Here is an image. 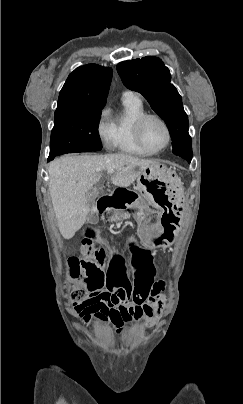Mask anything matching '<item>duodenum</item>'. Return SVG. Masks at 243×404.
<instances>
[{
	"label": "duodenum",
	"mask_w": 243,
	"mask_h": 404,
	"mask_svg": "<svg viewBox=\"0 0 243 404\" xmlns=\"http://www.w3.org/2000/svg\"><path fill=\"white\" fill-rule=\"evenodd\" d=\"M137 200V194L129 189L118 187L111 194L98 199L97 211L103 213L106 210L121 211L130 208Z\"/></svg>",
	"instance_id": "410a0bca"
}]
</instances>
